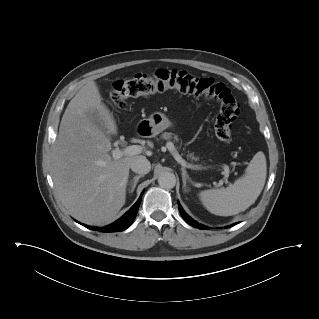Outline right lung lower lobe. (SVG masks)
I'll return each instance as SVG.
<instances>
[{"mask_svg": "<svg viewBox=\"0 0 319 319\" xmlns=\"http://www.w3.org/2000/svg\"><path fill=\"white\" fill-rule=\"evenodd\" d=\"M142 195H143V192L140 195V197L137 200V202L130 208V210L125 215H123L119 220H117L116 222H114V223H112V224H110L108 226L101 227V228L91 227V226H87V225H84V224H82V225L87 227L88 229L98 230L100 232H119V231H123V230L127 229L131 225L133 220L135 219L136 214L138 212V208L140 206Z\"/></svg>", "mask_w": 319, "mask_h": 319, "instance_id": "obj_1", "label": "right lung lower lobe"}]
</instances>
